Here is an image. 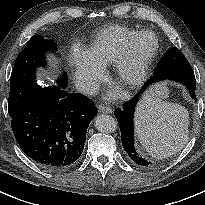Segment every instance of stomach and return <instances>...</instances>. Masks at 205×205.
<instances>
[{
    "mask_svg": "<svg viewBox=\"0 0 205 205\" xmlns=\"http://www.w3.org/2000/svg\"><path fill=\"white\" fill-rule=\"evenodd\" d=\"M164 94H165V89L162 87H158L154 90H151L149 93H147L141 102H149L153 99H156L157 97L164 96Z\"/></svg>",
    "mask_w": 205,
    "mask_h": 205,
    "instance_id": "1",
    "label": "stomach"
}]
</instances>
